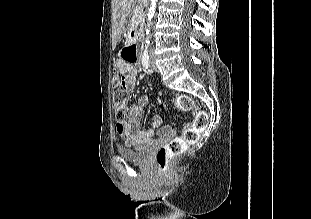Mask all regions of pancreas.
I'll list each match as a JSON object with an SVG mask.
<instances>
[{"label":"pancreas","mask_w":311,"mask_h":219,"mask_svg":"<svg viewBox=\"0 0 311 219\" xmlns=\"http://www.w3.org/2000/svg\"><path fill=\"white\" fill-rule=\"evenodd\" d=\"M138 2H140V0H138ZM140 7H141V5L138 4V5L136 6V8L134 9L133 18H132V23H137V22H139V21L141 20V17H140V16L135 15L136 11H138Z\"/></svg>","instance_id":"obj_1"}]
</instances>
